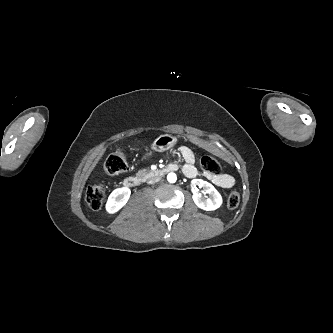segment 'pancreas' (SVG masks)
<instances>
[{
    "instance_id": "1",
    "label": "pancreas",
    "mask_w": 333,
    "mask_h": 333,
    "mask_svg": "<svg viewBox=\"0 0 333 333\" xmlns=\"http://www.w3.org/2000/svg\"><path fill=\"white\" fill-rule=\"evenodd\" d=\"M146 175H147V170H146V169L140 170V171H138V173L136 174V176L139 177V178L146 177Z\"/></svg>"
}]
</instances>
